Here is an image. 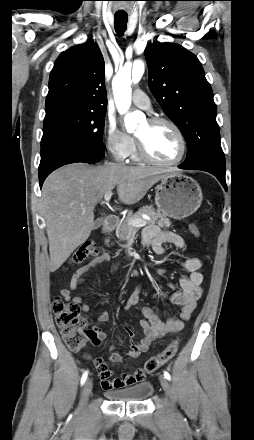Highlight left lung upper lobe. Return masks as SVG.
<instances>
[{"label": "left lung upper lobe", "mask_w": 254, "mask_h": 440, "mask_svg": "<svg viewBox=\"0 0 254 440\" xmlns=\"http://www.w3.org/2000/svg\"><path fill=\"white\" fill-rule=\"evenodd\" d=\"M149 88L187 143L190 166L208 161L225 167L213 92L198 58L178 44L146 47Z\"/></svg>", "instance_id": "5c2ea615"}]
</instances>
